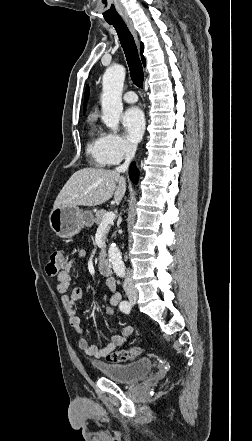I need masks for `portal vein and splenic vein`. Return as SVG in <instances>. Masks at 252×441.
I'll use <instances>...</instances> for the list:
<instances>
[{
    "label": "portal vein and splenic vein",
    "mask_w": 252,
    "mask_h": 441,
    "mask_svg": "<svg viewBox=\"0 0 252 441\" xmlns=\"http://www.w3.org/2000/svg\"><path fill=\"white\" fill-rule=\"evenodd\" d=\"M114 219H115V214H114V212L110 211V212L106 213V214L103 216V219H102V222H101V224H100V227L108 226L109 224H112L113 221H114Z\"/></svg>",
    "instance_id": "portal-vein-and-splenic-vein-1"
}]
</instances>
